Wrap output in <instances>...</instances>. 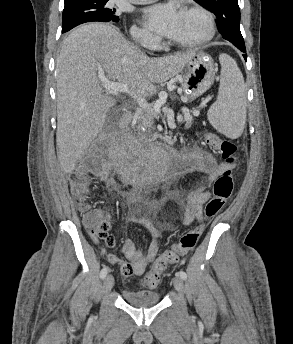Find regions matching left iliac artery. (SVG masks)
Instances as JSON below:
<instances>
[{
    "label": "left iliac artery",
    "mask_w": 293,
    "mask_h": 344,
    "mask_svg": "<svg viewBox=\"0 0 293 344\" xmlns=\"http://www.w3.org/2000/svg\"><path fill=\"white\" fill-rule=\"evenodd\" d=\"M176 275L182 278L183 280L187 278V274L183 270L178 271Z\"/></svg>",
    "instance_id": "1"
}]
</instances>
